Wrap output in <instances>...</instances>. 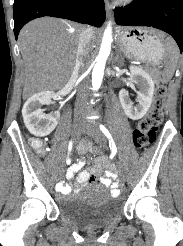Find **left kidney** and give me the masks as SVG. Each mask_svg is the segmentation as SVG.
<instances>
[{"label": "left kidney", "instance_id": "5707ae66", "mask_svg": "<svg viewBox=\"0 0 183 246\" xmlns=\"http://www.w3.org/2000/svg\"><path fill=\"white\" fill-rule=\"evenodd\" d=\"M130 77L138 88V104L133 105L131 103L128 92L125 89L120 90L119 100L126 116L132 120H138L145 116L151 106L154 94V81L141 67L134 65L130 67Z\"/></svg>", "mask_w": 183, "mask_h": 246}]
</instances>
